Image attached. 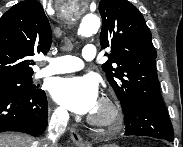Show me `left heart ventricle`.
Here are the masks:
<instances>
[{"mask_svg":"<svg viewBox=\"0 0 183 147\" xmlns=\"http://www.w3.org/2000/svg\"><path fill=\"white\" fill-rule=\"evenodd\" d=\"M93 113H96V114H102L103 113V110L99 106V104L96 106V108L94 109Z\"/></svg>","mask_w":183,"mask_h":147,"instance_id":"b2bd125f","label":"left heart ventricle"}]
</instances>
